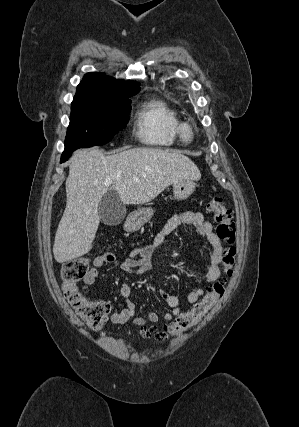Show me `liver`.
I'll return each instance as SVG.
<instances>
[{
    "label": "liver",
    "instance_id": "obj_1",
    "mask_svg": "<svg viewBox=\"0 0 299 427\" xmlns=\"http://www.w3.org/2000/svg\"><path fill=\"white\" fill-rule=\"evenodd\" d=\"M200 178L194 162L175 151L133 148L110 156L97 148L75 151L65 183L66 208L53 245L55 260L64 263L91 250L100 223L98 204L107 191H115L123 204L139 205L176 181ZM105 180H111L110 188Z\"/></svg>",
    "mask_w": 299,
    "mask_h": 427
}]
</instances>
